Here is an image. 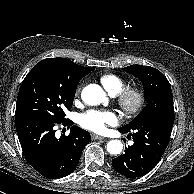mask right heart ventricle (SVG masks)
I'll return each mask as SVG.
<instances>
[{
	"label": "right heart ventricle",
	"instance_id": "1",
	"mask_svg": "<svg viewBox=\"0 0 194 194\" xmlns=\"http://www.w3.org/2000/svg\"><path fill=\"white\" fill-rule=\"evenodd\" d=\"M100 82L107 92L113 96L117 95L127 86V82L122 77L107 73L100 77Z\"/></svg>",
	"mask_w": 194,
	"mask_h": 194
}]
</instances>
